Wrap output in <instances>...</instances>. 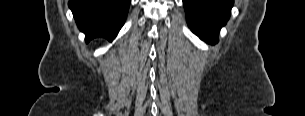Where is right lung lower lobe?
<instances>
[{
    "mask_svg": "<svg viewBox=\"0 0 305 116\" xmlns=\"http://www.w3.org/2000/svg\"><path fill=\"white\" fill-rule=\"evenodd\" d=\"M68 5L87 42L96 37L112 41L124 25L130 0H70Z\"/></svg>",
    "mask_w": 305,
    "mask_h": 116,
    "instance_id": "right-lung-lower-lobe-1",
    "label": "right lung lower lobe"
}]
</instances>
